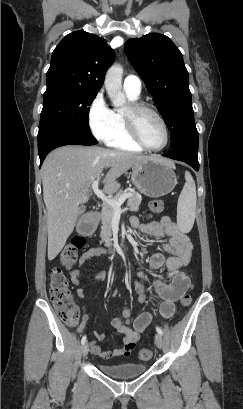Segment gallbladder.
<instances>
[{
    "mask_svg": "<svg viewBox=\"0 0 243 409\" xmlns=\"http://www.w3.org/2000/svg\"><path fill=\"white\" fill-rule=\"evenodd\" d=\"M85 210L84 206H81V212H83Z\"/></svg>",
    "mask_w": 243,
    "mask_h": 409,
    "instance_id": "obj_1",
    "label": "gallbladder"
}]
</instances>
